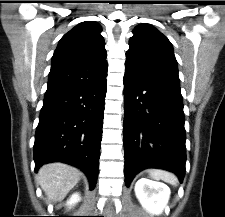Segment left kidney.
Returning a JSON list of instances; mask_svg holds the SVG:
<instances>
[{
	"mask_svg": "<svg viewBox=\"0 0 225 217\" xmlns=\"http://www.w3.org/2000/svg\"><path fill=\"white\" fill-rule=\"evenodd\" d=\"M134 190L141 205L155 215L162 213L170 197V189L166 184L147 178H140Z\"/></svg>",
	"mask_w": 225,
	"mask_h": 217,
	"instance_id": "left-kidney-1",
	"label": "left kidney"
}]
</instances>
